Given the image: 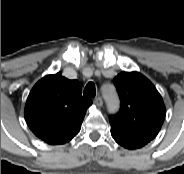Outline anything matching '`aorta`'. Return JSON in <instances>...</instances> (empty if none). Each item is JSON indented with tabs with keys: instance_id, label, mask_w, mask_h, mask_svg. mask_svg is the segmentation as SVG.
<instances>
[{
	"instance_id": "1",
	"label": "aorta",
	"mask_w": 184,
	"mask_h": 174,
	"mask_svg": "<svg viewBox=\"0 0 184 174\" xmlns=\"http://www.w3.org/2000/svg\"><path fill=\"white\" fill-rule=\"evenodd\" d=\"M103 96L107 103L109 111H116L119 107V99L116 90L113 86H109L103 89Z\"/></svg>"
}]
</instances>
